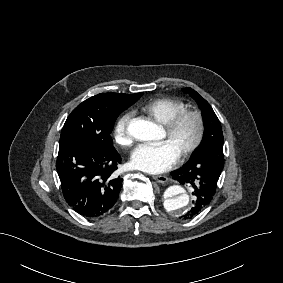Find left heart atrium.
I'll return each mask as SVG.
<instances>
[{"mask_svg": "<svg viewBox=\"0 0 283 283\" xmlns=\"http://www.w3.org/2000/svg\"><path fill=\"white\" fill-rule=\"evenodd\" d=\"M180 155L168 141L139 144L130 154V166L147 174H158L174 166Z\"/></svg>", "mask_w": 283, "mask_h": 283, "instance_id": "left-heart-atrium-1", "label": "left heart atrium"}]
</instances>
